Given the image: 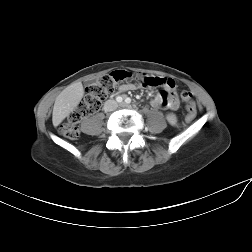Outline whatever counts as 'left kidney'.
<instances>
[{
  "label": "left kidney",
  "instance_id": "obj_1",
  "mask_svg": "<svg viewBox=\"0 0 252 252\" xmlns=\"http://www.w3.org/2000/svg\"><path fill=\"white\" fill-rule=\"evenodd\" d=\"M166 118L171 125H175L177 123V117L173 113L168 114Z\"/></svg>",
  "mask_w": 252,
  "mask_h": 252
}]
</instances>
